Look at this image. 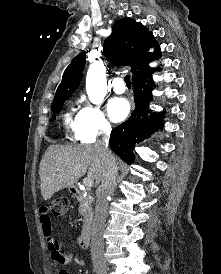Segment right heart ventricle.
<instances>
[{
	"label": "right heart ventricle",
	"instance_id": "1",
	"mask_svg": "<svg viewBox=\"0 0 221 274\" xmlns=\"http://www.w3.org/2000/svg\"><path fill=\"white\" fill-rule=\"evenodd\" d=\"M75 120L72 119V112L69 111L64 115V123L68 128L74 129Z\"/></svg>",
	"mask_w": 221,
	"mask_h": 274
}]
</instances>
